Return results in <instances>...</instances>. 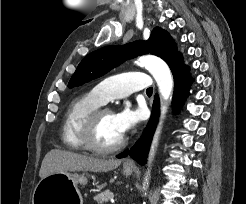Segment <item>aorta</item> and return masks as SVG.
<instances>
[{
  "instance_id": "aorta-1",
  "label": "aorta",
  "mask_w": 246,
  "mask_h": 204,
  "mask_svg": "<svg viewBox=\"0 0 246 204\" xmlns=\"http://www.w3.org/2000/svg\"><path fill=\"white\" fill-rule=\"evenodd\" d=\"M136 64L140 66H144L150 74L155 79L159 93L161 95V118L160 123L158 125V128L156 130V133L154 135V139L152 142V149H151V156L154 152V148L157 145L158 142V136L160 134L161 126L163 123V119L165 117L166 111H167V104L166 102L171 98L172 91H173V77L170 71V68L168 65L159 57L154 55H145L140 57L135 61ZM151 156L149 158V161L151 159ZM145 184L148 185V178L146 176L145 182H144V188ZM145 204V203H144Z\"/></svg>"
}]
</instances>
